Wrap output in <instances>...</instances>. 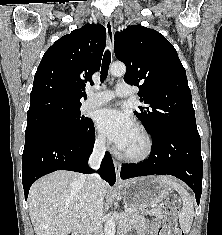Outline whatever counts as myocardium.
I'll return each instance as SVG.
<instances>
[{"label": "myocardium", "instance_id": "myocardium-1", "mask_svg": "<svg viewBox=\"0 0 222 235\" xmlns=\"http://www.w3.org/2000/svg\"><path fill=\"white\" fill-rule=\"evenodd\" d=\"M135 129L144 140L143 150L138 153L122 152L120 156L126 161L137 163L142 162L151 156L154 149V141L151 134L145 127L137 125Z\"/></svg>", "mask_w": 222, "mask_h": 235}]
</instances>
